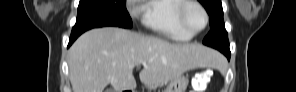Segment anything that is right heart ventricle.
I'll list each match as a JSON object with an SVG mask.
<instances>
[{
	"instance_id": "obj_1",
	"label": "right heart ventricle",
	"mask_w": 296,
	"mask_h": 92,
	"mask_svg": "<svg viewBox=\"0 0 296 92\" xmlns=\"http://www.w3.org/2000/svg\"><path fill=\"white\" fill-rule=\"evenodd\" d=\"M184 0H152L144 7L143 23L152 31L175 41H188V34L179 24L178 13Z\"/></svg>"
}]
</instances>
